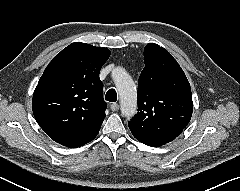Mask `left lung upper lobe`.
<instances>
[{"mask_svg":"<svg viewBox=\"0 0 240 191\" xmlns=\"http://www.w3.org/2000/svg\"><path fill=\"white\" fill-rule=\"evenodd\" d=\"M145 67L138 82V113L128 125L133 136L149 146L174 140L192 116L190 84L177 61L163 47H145Z\"/></svg>","mask_w":240,"mask_h":191,"instance_id":"5c2ea615","label":"left lung upper lobe"}]
</instances>
